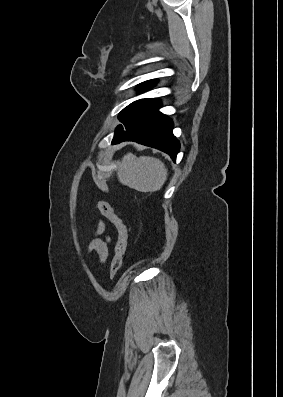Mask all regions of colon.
<instances>
[{
  "label": "colon",
  "instance_id": "colon-1",
  "mask_svg": "<svg viewBox=\"0 0 283 397\" xmlns=\"http://www.w3.org/2000/svg\"><path fill=\"white\" fill-rule=\"evenodd\" d=\"M98 207L103 216L115 227L117 231V241L114 249V256L111 262L108 276L113 279L123 264V257L127 247L128 228L122 219L114 212L110 203L106 200H101Z\"/></svg>",
  "mask_w": 283,
  "mask_h": 397
}]
</instances>
